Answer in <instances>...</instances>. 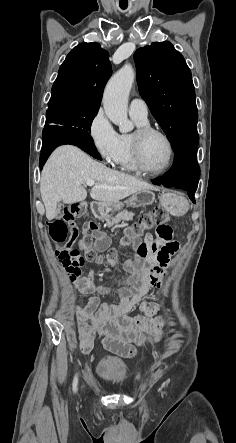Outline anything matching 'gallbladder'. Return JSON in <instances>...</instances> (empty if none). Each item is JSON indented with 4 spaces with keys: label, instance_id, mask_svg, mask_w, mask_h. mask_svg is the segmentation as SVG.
Returning <instances> with one entry per match:
<instances>
[{
    "label": "gallbladder",
    "instance_id": "gallbladder-1",
    "mask_svg": "<svg viewBox=\"0 0 236 443\" xmlns=\"http://www.w3.org/2000/svg\"><path fill=\"white\" fill-rule=\"evenodd\" d=\"M60 210H61V204H58V212H57L56 218H59L61 216Z\"/></svg>",
    "mask_w": 236,
    "mask_h": 443
}]
</instances>
